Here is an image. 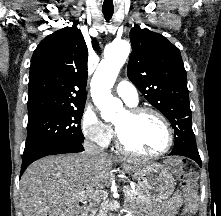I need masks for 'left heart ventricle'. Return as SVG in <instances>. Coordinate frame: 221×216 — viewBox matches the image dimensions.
Here are the masks:
<instances>
[{"mask_svg": "<svg viewBox=\"0 0 221 216\" xmlns=\"http://www.w3.org/2000/svg\"><path fill=\"white\" fill-rule=\"evenodd\" d=\"M115 127L123 141L140 152H158L167 142V132L163 123L151 114L135 118L124 111L117 118Z\"/></svg>", "mask_w": 221, "mask_h": 216, "instance_id": "1", "label": "left heart ventricle"}]
</instances>
